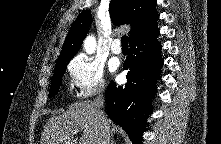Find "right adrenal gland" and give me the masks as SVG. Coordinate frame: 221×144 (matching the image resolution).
<instances>
[{
	"label": "right adrenal gland",
	"instance_id": "2a0ac1e0",
	"mask_svg": "<svg viewBox=\"0 0 221 144\" xmlns=\"http://www.w3.org/2000/svg\"><path fill=\"white\" fill-rule=\"evenodd\" d=\"M110 144H115V142L112 140V141L110 142Z\"/></svg>",
	"mask_w": 221,
	"mask_h": 144
}]
</instances>
